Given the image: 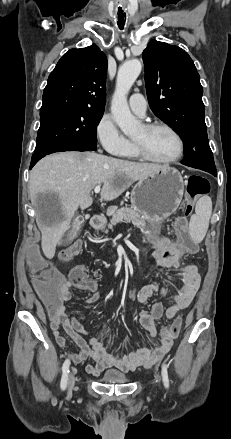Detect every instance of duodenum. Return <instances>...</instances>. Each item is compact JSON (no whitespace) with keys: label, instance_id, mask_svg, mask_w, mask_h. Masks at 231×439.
Returning <instances> with one entry per match:
<instances>
[{"label":"duodenum","instance_id":"410a0bca","mask_svg":"<svg viewBox=\"0 0 231 439\" xmlns=\"http://www.w3.org/2000/svg\"><path fill=\"white\" fill-rule=\"evenodd\" d=\"M105 219L102 215H93L90 219V225L93 228H100L104 224Z\"/></svg>","mask_w":231,"mask_h":439}]
</instances>
